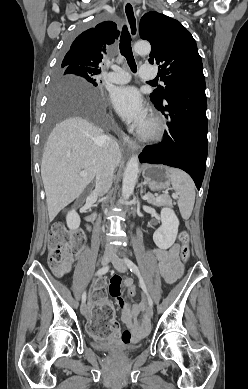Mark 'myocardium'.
<instances>
[{
	"instance_id": "obj_1",
	"label": "myocardium",
	"mask_w": 248,
	"mask_h": 389,
	"mask_svg": "<svg viewBox=\"0 0 248 389\" xmlns=\"http://www.w3.org/2000/svg\"><path fill=\"white\" fill-rule=\"evenodd\" d=\"M163 133L164 126L161 120L157 117H150L145 126L139 130L138 135L142 140L156 141L163 136Z\"/></svg>"
}]
</instances>
